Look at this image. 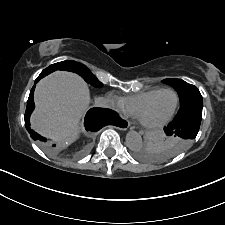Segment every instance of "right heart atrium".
<instances>
[{
  "label": "right heart atrium",
  "instance_id": "obj_1",
  "mask_svg": "<svg viewBox=\"0 0 225 225\" xmlns=\"http://www.w3.org/2000/svg\"><path fill=\"white\" fill-rule=\"evenodd\" d=\"M113 99H114V101H115V104H116L117 109L120 110V111L125 112V111H124L123 104H122V101L119 100V99L116 98V97H113Z\"/></svg>",
  "mask_w": 225,
  "mask_h": 225
}]
</instances>
